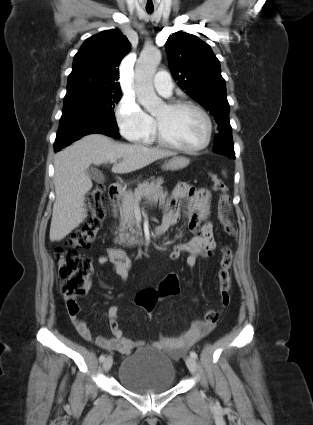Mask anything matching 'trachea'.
<instances>
[{
	"mask_svg": "<svg viewBox=\"0 0 313 425\" xmlns=\"http://www.w3.org/2000/svg\"><path fill=\"white\" fill-rule=\"evenodd\" d=\"M146 11H147L148 13H152V12H153V9H148V8H146Z\"/></svg>",
	"mask_w": 313,
	"mask_h": 425,
	"instance_id": "1",
	"label": "trachea"
}]
</instances>
